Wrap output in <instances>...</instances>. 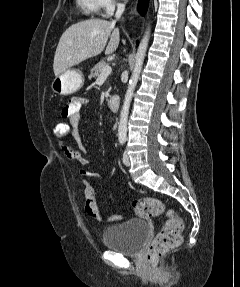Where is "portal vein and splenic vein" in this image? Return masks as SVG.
Here are the masks:
<instances>
[{"label":"portal vein and splenic vein","instance_id":"obj_1","mask_svg":"<svg viewBox=\"0 0 240 287\" xmlns=\"http://www.w3.org/2000/svg\"><path fill=\"white\" fill-rule=\"evenodd\" d=\"M111 71H112L111 66L106 65V66L103 68V70H102V72H101V74H100V77L108 76V75L111 73Z\"/></svg>","mask_w":240,"mask_h":287}]
</instances>
